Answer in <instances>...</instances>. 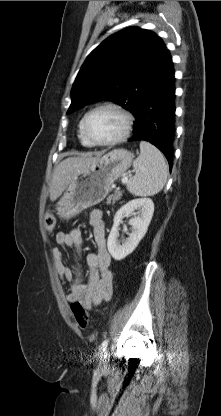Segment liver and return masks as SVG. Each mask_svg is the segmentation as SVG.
<instances>
[{"instance_id":"obj_1","label":"liver","mask_w":221,"mask_h":416,"mask_svg":"<svg viewBox=\"0 0 221 416\" xmlns=\"http://www.w3.org/2000/svg\"><path fill=\"white\" fill-rule=\"evenodd\" d=\"M99 159L100 156L68 157L64 159L54 168L50 185V200L55 201L78 173L85 170Z\"/></svg>"}]
</instances>
